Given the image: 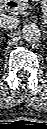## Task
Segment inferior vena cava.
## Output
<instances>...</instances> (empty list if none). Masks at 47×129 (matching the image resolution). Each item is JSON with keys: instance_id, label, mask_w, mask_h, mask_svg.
I'll list each match as a JSON object with an SVG mask.
<instances>
[{"instance_id": "inferior-vena-cava-1", "label": "inferior vena cava", "mask_w": 47, "mask_h": 129, "mask_svg": "<svg viewBox=\"0 0 47 129\" xmlns=\"http://www.w3.org/2000/svg\"><path fill=\"white\" fill-rule=\"evenodd\" d=\"M18 19L13 16H2L0 20V26L6 30L16 29L18 26Z\"/></svg>"}]
</instances>
